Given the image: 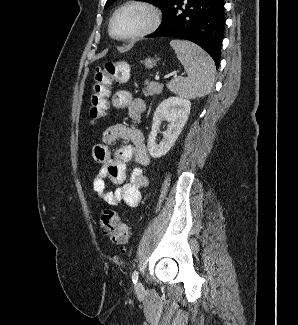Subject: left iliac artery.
I'll use <instances>...</instances> for the list:
<instances>
[{"mask_svg":"<svg viewBox=\"0 0 298 325\" xmlns=\"http://www.w3.org/2000/svg\"><path fill=\"white\" fill-rule=\"evenodd\" d=\"M132 281L134 284H136L138 281V271L137 270H134L132 273Z\"/></svg>","mask_w":298,"mask_h":325,"instance_id":"1","label":"left iliac artery"}]
</instances>
